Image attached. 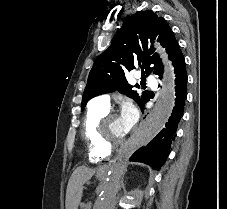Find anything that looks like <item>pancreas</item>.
<instances>
[{
	"label": "pancreas",
	"instance_id": "obj_1",
	"mask_svg": "<svg viewBox=\"0 0 227 209\" xmlns=\"http://www.w3.org/2000/svg\"><path fill=\"white\" fill-rule=\"evenodd\" d=\"M81 209H88L86 206H82Z\"/></svg>",
	"mask_w": 227,
	"mask_h": 209
}]
</instances>
